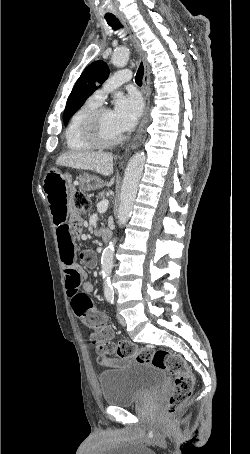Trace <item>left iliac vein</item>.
Returning a JSON list of instances; mask_svg holds the SVG:
<instances>
[{
    "instance_id": "1",
    "label": "left iliac vein",
    "mask_w": 250,
    "mask_h": 454,
    "mask_svg": "<svg viewBox=\"0 0 250 454\" xmlns=\"http://www.w3.org/2000/svg\"><path fill=\"white\" fill-rule=\"evenodd\" d=\"M117 318H118L119 323L122 326H126V321H125L124 317L121 314L117 313Z\"/></svg>"
}]
</instances>
